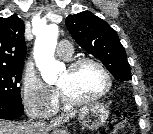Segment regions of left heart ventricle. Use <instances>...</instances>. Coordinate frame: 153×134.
Listing matches in <instances>:
<instances>
[{"label": "left heart ventricle", "mask_w": 153, "mask_h": 134, "mask_svg": "<svg viewBox=\"0 0 153 134\" xmlns=\"http://www.w3.org/2000/svg\"><path fill=\"white\" fill-rule=\"evenodd\" d=\"M104 75L93 64L86 63L71 72L64 71L57 86L65 89L70 95L79 98L93 96L105 87Z\"/></svg>", "instance_id": "obj_1"}]
</instances>
